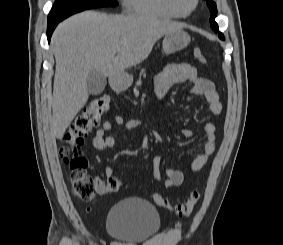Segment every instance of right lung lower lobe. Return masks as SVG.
I'll return each instance as SVG.
<instances>
[{
    "label": "right lung lower lobe",
    "mask_w": 283,
    "mask_h": 245,
    "mask_svg": "<svg viewBox=\"0 0 283 245\" xmlns=\"http://www.w3.org/2000/svg\"><path fill=\"white\" fill-rule=\"evenodd\" d=\"M59 22L60 21H55V22L48 23V25H47V38H48V42H50L52 33H53L55 27L58 25Z\"/></svg>",
    "instance_id": "1"
}]
</instances>
